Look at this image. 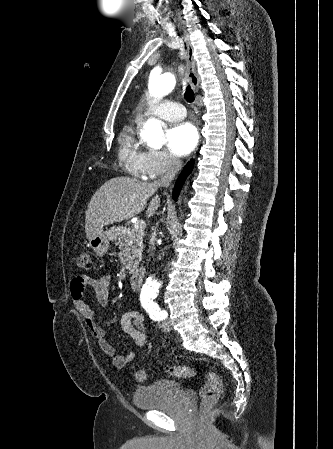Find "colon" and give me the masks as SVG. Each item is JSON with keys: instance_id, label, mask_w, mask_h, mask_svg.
Here are the masks:
<instances>
[{"instance_id": "5ec220e1", "label": "colon", "mask_w": 333, "mask_h": 449, "mask_svg": "<svg viewBox=\"0 0 333 449\" xmlns=\"http://www.w3.org/2000/svg\"><path fill=\"white\" fill-rule=\"evenodd\" d=\"M79 266L83 269H88L91 266V254L89 251H83L78 258ZM197 369L189 366H172L169 369V373L176 377L190 378L197 374ZM205 386L201 393V405L203 407H209L214 404L221 395L222 382L217 374L212 371H206ZM135 379L137 381H144L146 379V373L143 369H139L135 372Z\"/></svg>"}]
</instances>
